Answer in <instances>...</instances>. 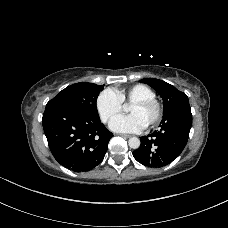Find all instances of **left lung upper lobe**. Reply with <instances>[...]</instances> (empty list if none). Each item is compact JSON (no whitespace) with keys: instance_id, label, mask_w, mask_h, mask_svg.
Masks as SVG:
<instances>
[{"instance_id":"left-lung-upper-lobe-1","label":"left lung upper lobe","mask_w":228,"mask_h":228,"mask_svg":"<svg viewBox=\"0 0 228 228\" xmlns=\"http://www.w3.org/2000/svg\"><path fill=\"white\" fill-rule=\"evenodd\" d=\"M140 82L146 83L154 88L162 97L164 102L163 117L173 115L176 121L181 119V106L189 105L185 93L177 90L171 84L155 78H145Z\"/></svg>"}]
</instances>
